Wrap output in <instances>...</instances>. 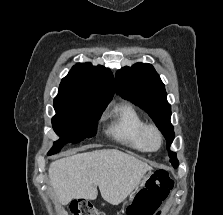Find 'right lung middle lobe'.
Here are the masks:
<instances>
[{"label":"right lung middle lobe","instance_id":"obj_1","mask_svg":"<svg viewBox=\"0 0 223 215\" xmlns=\"http://www.w3.org/2000/svg\"><path fill=\"white\" fill-rule=\"evenodd\" d=\"M56 115L52 118V126L60 139L48 155L55 154L69 142L78 143L96 134L97 121L105 108L91 106H54Z\"/></svg>","mask_w":223,"mask_h":215}]
</instances>
